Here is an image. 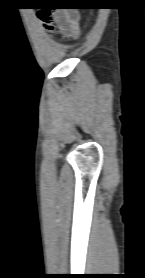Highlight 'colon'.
Here are the masks:
<instances>
[{
	"mask_svg": "<svg viewBox=\"0 0 145 278\" xmlns=\"http://www.w3.org/2000/svg\"><path fill=\"white\" fill-rule=\"evenodd\" d=\"M87 8L86 5L79 3V0H63V3L43 7L37 13L38 18L41 20L43 26L47 30H52L55 25V12L56 11H77ZM70 23L67 25L68 30H73L77 27L74 17H69Z\"/></svg>",
	"mask_w": 145,
	"mask_h": 278,
	"instance_id": "5ec220e1",
	"label": "colon"
}]
</instances>
